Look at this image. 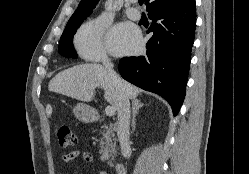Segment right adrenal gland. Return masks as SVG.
I'll use <instances>...</instances> for the list:
<instances>
[{"instance_id": "obj_1", "label": "right adrenal gland", "mask_w": 249, "mask_h": 174, "mask_svg": "<svg viewBox=\"0 0 249 174\" xmlns=\"http://www.w3.org/2000/svg\"><path fill=\"white\" fill-rule=\"evenodd\" d=\"M143 103L140 102V100H133L132 101V132L135 130V118L138 114V111L141 107H143Z\"/></svg>"}]
</instances>
